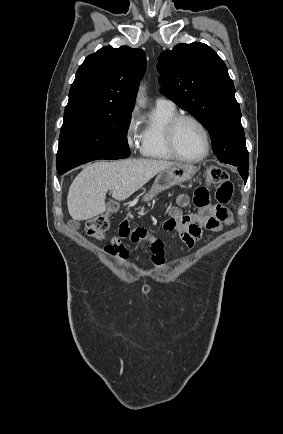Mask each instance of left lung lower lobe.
<instances>
[{
    "instance_id": "1",
    "label": "left lung lower lobe",
    "mask_w": 283,
    "mask_h": 434,
    "mask_svg": "<svg viewBox=\"0 0 283 434\" xmlns=\"http://www.w3.org/2000/svg\"><path fill=\"white\" fill-rule=\"evenodd\" d=\"M237 167H238V171H239L240 175L242 176V178L244 179V181L246 183V180L248 178V171H247L248 170V166H246V165H238Z\"/></svg>"
}]
</instances>
